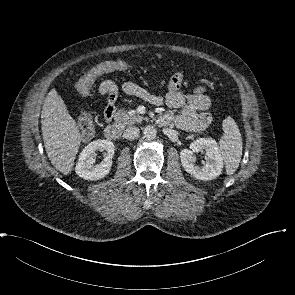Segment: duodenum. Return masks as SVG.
I'll list each match as a JSON object with an SVG mask.
<instances>
[{
  "label": "duodenum",
  "mask_w": 295,
  "mask_h": 295,
  "mask_svg": "<svg viewBox=\"0 0 295 295\" xmlns=\"http://www.w3.org/2000/svg\"><path fill=\"white\" fill-rule=\"evenodd\" d=\"M158 122L161 124H167L164 116H160ZM104 134L109 140H118L121 137V127L116 123L109 124L105 128Z\"/></svg>",
  "instance_id": "410a0bca"
}]
</instances>
